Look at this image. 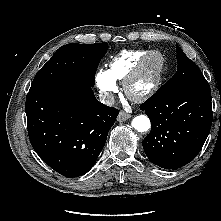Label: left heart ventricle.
<instances>
[{
  "instance_id": "1",
  "label": "left heart ventricle",
  "mask_w": 221,
  "mask_h": 221,
  "mask_svg": "<svg viewBox=\"0 0 221 221\" xmlns=\"http://www.w3.org/2000/svg\"><path fill=\"white\" fill-rule=\"evenodd\" d=\"M157 59L154 58L150 61L146 69L140 74V76L135 80L132 89L135 92H141L146 89L150 83L153 81L155 71H156Z\"/></svg>"
}]
</instances>
